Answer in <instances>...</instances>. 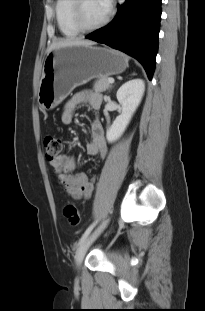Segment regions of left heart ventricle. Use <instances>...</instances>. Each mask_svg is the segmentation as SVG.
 <instances>
[{
	"label": "left heart ventricle",
	"instance_id": "1",
	"mask_svg": "<svg viewBox=\"0 0 205 311\" xmlns=\"http://www.w3.org/2000/svg\"><path fill=\"white\" fill-rule=\"evenodd\" d=\"M107 13L108 10L101 0H86L83 3L82 16L88 26L100 23Z\"/></svg>",
	"mask_w": 205,
	"mask_h": 311
}]
</instances>
